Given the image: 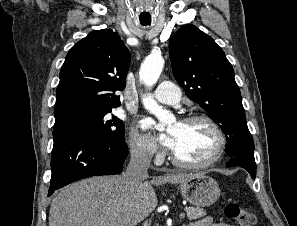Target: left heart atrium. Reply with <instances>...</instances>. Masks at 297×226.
I'll return each instance as SVG.
<instances>
[{
  "label": "left heart atrium",
  "mask_w": 297,
  "mask_h": 226,
  "mask_svg": "<svg viewBox=\"0 0 297 226\" xmlns=\"http://www.w3.org/2000/svg\"><path fill=\"white\" fill-rule=\"evenodd\" d=\"M142 128L144 129H152L154 126V122L151 119H145L142 124ZM160 142L169 148H173L175 144V136L172 132H167L166 134H162L159 136Z\"/></svg>",
  "instance_id": "left-heart-atrium-1"
}]
</instances>
